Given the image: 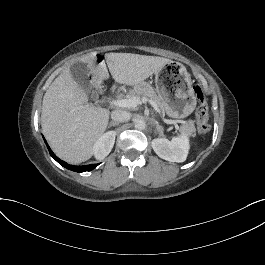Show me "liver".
<instances>
[{
  "label": "liver",
  "mask_w": 265,
  "mask_h": 265,
  "mask_svg": "<svg viewBox=\"0 0 265 265\" xmlns=\"http://www.w3.org/2000/svg\"><path fill=\"white\" fill-rule=\"evenodd\" d=\"M95 55L81 60L88 62L93 74L91 84L101 88L109 78L106 64L93 66ZM105 59L113 79L130 86L160 71L171 60L163 57L131 53H106ZM109 110L88 104L83 89L66 68L47 89L42 102L41 126L53 152L62 160L78 164L91 158L92 147L105 132Z\"/></svg>",
  "instance_id": "1"
}]
</instances>
